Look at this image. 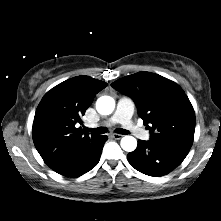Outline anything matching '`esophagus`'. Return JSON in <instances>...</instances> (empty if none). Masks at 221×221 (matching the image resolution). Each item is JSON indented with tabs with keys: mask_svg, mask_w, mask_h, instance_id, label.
<instances>
[{
	"mask_svg": "<svg viewBox=\"0 0 221 221\" xmlns=\"http://www.w3.org/2000/svg\"><path fill=\"white\" fill-rule=\"evenodd\" d=\"M111 137L116 139V140H119L123 137V135L114 133V134L111 135Z\"/></svg>",
	"mask_w": 221,
	"mask_h": 221,
	"instance_id": "esophagus-1",
	"label": "esophagus"
}]
</instances>
